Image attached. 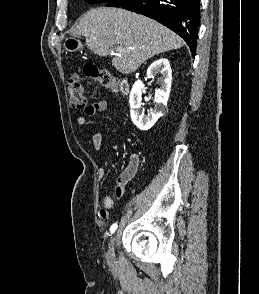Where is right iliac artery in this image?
<instances>
[{"instance_id":"obj_1","label":"right iliac artery","mask_w":259,"mask_h":294,"mask_svg":"<svg viewBox=\"0 0 259 294\" xmlns=\"http://www.w3.org/2000/svg\"><path fill=\"white\" fill-rule=\"evenodd\" d=\"M117 229V223H114L111 227H110V233L113 234Z\"/></svg>"}]
</instances>
